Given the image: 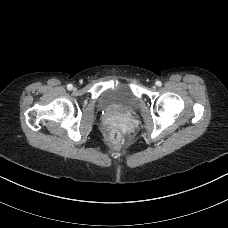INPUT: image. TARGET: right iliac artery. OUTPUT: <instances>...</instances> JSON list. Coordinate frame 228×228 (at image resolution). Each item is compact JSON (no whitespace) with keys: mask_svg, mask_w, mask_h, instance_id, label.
Instances as JSON below:
<instances>
[{"mask_svg":"<svg viewBox=\"0 0 228 228\" xmlns=\"http://www.w3.org/2000/svg\"><path fill=\"white\" fill-rule=\"evenodd\" d=\"M72 88H73L72 84H68V85H67V89H68V90H71Z\"/></svg>","mask_w":228,"mask_h":228,"instance_id":"1","label":"right iliac artery"}]
</instances>
